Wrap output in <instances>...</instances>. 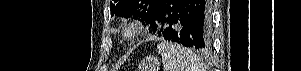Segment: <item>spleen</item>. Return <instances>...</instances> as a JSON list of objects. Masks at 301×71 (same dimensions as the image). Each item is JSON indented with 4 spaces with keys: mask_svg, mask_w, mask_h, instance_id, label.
<instances>
[{
    "mask_svg": "<svg viewBox=\"0 0 301 71\" xmlns=\"http://www.w3.org/2000/svg\"><path fill=\"white\" fill-rule=\"evenodd\" d=\"M157 49L162 56L163 71H205L199 57L180 44L161 42Z\"/></svg>",
    "mask_w": 301,
    "mask_h": 71,
    "instance_id": "3e777b00",
    "label": "spleen"
}]
</instances>
